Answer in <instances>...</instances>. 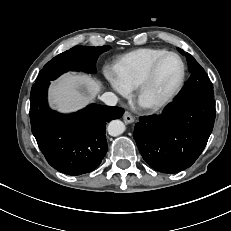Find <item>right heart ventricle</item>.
Returning <instances> with one entry per match:
<instances>
[{
	"mask_svg": "<svg viewBox=\"0 0 231 231\" xmlns=\"http://www.w3.org/2000/svg\"><path fill=\"white\" fill-rule=\"evenodd\" d=\"M168 52L162 48H140L121 56L113 66L118 80L128 88H135L153 62Z\"/></svg>",
	"mask_w": 231,
	"mask_h": 231,
	"instance_id": "1",
	"label": "right heart ventricle"
}]
</instances>
